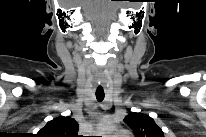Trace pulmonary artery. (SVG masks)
<instances>
[{
  "instance_id": "pulmonary-artery-1",
  "label": "pulmonary artery",
  "mask_w": 206,
  "mask_h": 137,
  "mask_svg": "<svg viewBox=\"0 0 206 137\" xmlns=\"http://www.w3.org/2000/svg\"><path fill=\"white\" fill-rule=\"evenodd\" d=\"M112 137H129L126 131H117L115 132Z\"/></svg>"
}]
</instances>
